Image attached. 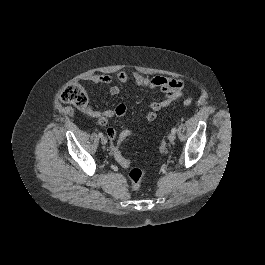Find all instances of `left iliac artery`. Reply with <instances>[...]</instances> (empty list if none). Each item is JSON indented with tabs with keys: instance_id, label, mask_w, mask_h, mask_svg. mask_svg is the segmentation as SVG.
<instances>
[{
	"instance_id": "44dca946",
	"label": "left iliac artery",
	"mask_w": 265,
	"mask_h": 265,
	"mask_svg": "<svg viewBox=\"0 0 265 265\" xmlns=\"http://www.w3.org/2000/svg\"><path fill=\"white\" fill-rule=\"evenodd\" d=\"M176 131H177L176 127L172 128L171 130L172 133H176Z\"/></svg>"
}]
</instances>
